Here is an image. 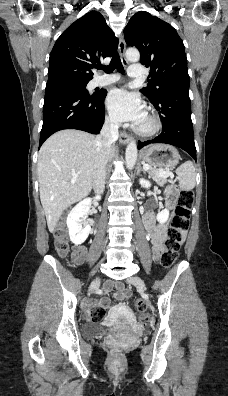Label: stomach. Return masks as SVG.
<instances>
[{
	"label": "stomach",
	"instance_id": "0dacf381",
	"mask_svg": "<svg viewBox=\"0 0 228 396\" xmlns=\"http://www.w3.org/2000/svg\"><path fill=\"white\" fill-rule=\"evenodd\" d=\"M140 156L142 160L155 168H174L180 160L177 149L168 144H154L146 147L141 150Z\"/></svg>",
	"mask_w": 228,
	"mask_h": 396
}]
</instances>
